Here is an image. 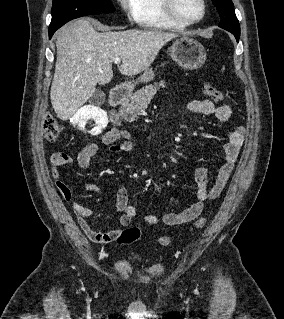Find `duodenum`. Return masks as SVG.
I'll return each instance as SVG.
<instances>
[{"instance_id": "410a0bca", "label": "duodenum", "mask_w": 284, "mask_h": 319, "mask_svg": "<svg viewBox=\"0 0 284 319\" xmlns=\"http://www.w3.org/2000/svg\"><path fill=\"white\" fill-rule=\"evenodd\" d=\"M128 98V93L126 90L122 88H114L111 90L109 95V102L113 107L111 111V121L115 126H119L121 124V117L117 108L124 103Z\"/></svg>"}]
</instances>
